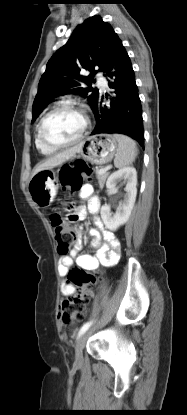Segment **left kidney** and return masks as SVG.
Segmentation results:
<instances>
[{
	"mask_svg": "<svg viewBox=\"0 0 187 415\" xmlns=\"http://www.w3.org/2000/svg\"><path fill=\"white\" fill-rule=\"evenodd\" d=\"M120 181L126 182V193L124 200L119 202L116 213L112 215L110 205L108 204L103 205L100 212L105 227L111 231H116L130 217L137 195L136 169L134 167H124L112 173L106 182L109 194L116 191V186Z\"/></svg>",
	"mask_w": 187,
	"mask_h": 415,
	"instance_id": "left-kidney-1",
	"label": "left kidney"
}]
</instances>
